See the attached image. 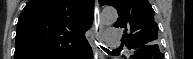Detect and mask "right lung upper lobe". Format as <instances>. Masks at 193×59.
<instances>
[{
  "instance_id": "1",
  "label": "right lung upper lobe",
  "mask_w": 193,
  "mask_h": 59,
  "mask_svg": "<svg viewBox=\"0 0 193 59\" xmlns=\"http://www.w3.org/2000/svg\"><path fill=\"white\" fill-rule=\"evenodd\" d=\"M94 0H30L17 24L15 59H66L87 40Z\"/></svg>"
}]
</instances>
